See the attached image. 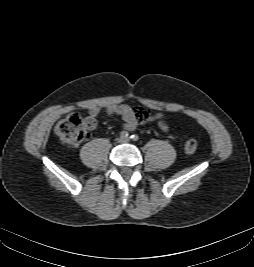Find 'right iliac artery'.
<instances>
[{
  "label": "right iliac artery",
  "mask_w": 254,
  "mask_h": 267,
  "mask_svg": "<svg viewBox=\"0 0 254 267\" xmlns=\"http://www.w3.org/2000/svg\"><path fill=\"white\" fill-rule=\"evenodd\" d=\"M121 138H127L129 136V133L127 131H122L120 133Z\"/></svg>",
  "instance_id": "obj_1"
}]
</instances>
